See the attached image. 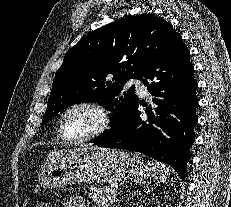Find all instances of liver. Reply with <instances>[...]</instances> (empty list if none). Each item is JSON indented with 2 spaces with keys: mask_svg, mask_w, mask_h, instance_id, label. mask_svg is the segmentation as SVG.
Masks as SVG:
<instances>
[{
  "mask_svg": "<svg viewBox=\"0 0 231 207\" xmlns=\"http://www.w3.org/2000/svg\"><path fill=\"white\" fill-rule=\"evenodd\" d=\"M83 150H101V148H97V147H87V148H83ZM62 154V152H53L52 154H50L47 158V160H53V158H55L56 156Z\"/></svg>",
  "mask_w": 231,
  "mask_h": 207,
  "instance_id": "obj_1",
  "label": "liver"
}]
</instances>
